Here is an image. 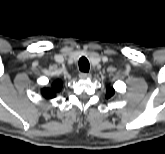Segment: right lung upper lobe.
<instances>
[{
    "instance_id": "right-lung-upper-lobe-1",
    "label": "right lung upper lobe",
    "mask_w": 165,
    "mask_h": 154,
    "mask_svg": "<svg viewBox=\"0 0 165 154\" xmlns=\"http://www.w3.org/2000/svg\"><path fill=\"white\" fill-rule=\"evenodd\" d=\"M61 87L62 82L57 80L53 83L52 88H43L41 93L46 99H51L56 96V92L60 91Z\"/></svg>"
}]
</instances>
